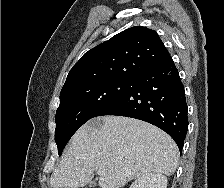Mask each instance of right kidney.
I'll return each instance as SVG.
<instances>
[{"label": "right kidney", "instance_id": "right-kidney-1", "mask_svg": "<svg viewBox=\"0 0 224 188\" xmlns=\"http://www.w3.org/2000/svg\"><path fill=\"white\" fill-rule=\"evenodd\" d=\"M167 178L159 173H149L138 177L130 188H167Z\"/></svg>", "mask_w": 224, "mask_h": 188}]
</instances>
